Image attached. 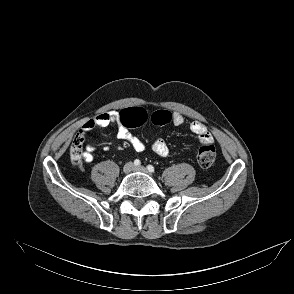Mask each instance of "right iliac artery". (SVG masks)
I'll list each match as a JSON object with an SVG mask.
<instances>
[{"instance_id":"82829eb1","label":"right iliac artery","mask_w":294,"mask_h":294,"mask_svg":"<svg viewBox=\"0 0 294 294\" xmlns=\"http://www.w3.org/2000/svg\"><path fill=\"white\" fill-rule=\"evenodd\" d=\"M140 164H141L140 160L136 159V160L134 161V165H135V166H139Z\"/></svg>"}]
</instances>
